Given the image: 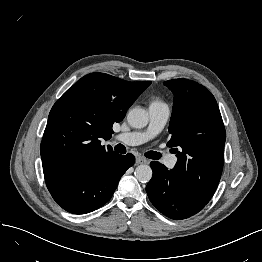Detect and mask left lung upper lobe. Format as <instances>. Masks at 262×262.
I'll list each match as a JSON object with an SVG mask.
<instances>
[{"label": "left lung upper lobe", "instance_id": "obj_1", "mask_svg": "<svg viewBox=\"0 0 262 262\" xmlns=\"http://www.w3.org/2000/svg\"><path fill=\"white\" fill-rule=\"evenodd\" d=\"M164 84L174 94L169 147L177 153L173 176L207 204L223 169L225 127L214 96L201 84L173 79Z\"/></svg>", "mask_w": 262, "mask_h": 262}]
</instances>
